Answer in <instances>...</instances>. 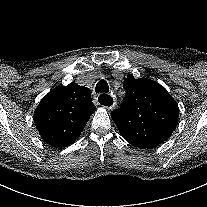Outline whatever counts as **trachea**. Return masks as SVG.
Instances as JSON below:
<instances>
[{"label": "trachea", "mask_w": 207, "mask_h": 207, "mask_svg": "<svg viewBox=\"0 0 207 207\" xmlns=\"http://www.w3.org/2000/svg\"><path fill=\"white\" fill-rule=\"evenodd\" d=\"M95 91H96V93H99V92L107 93L109 91V86H108L107 82L104 80L99 81L96 85ZM98 101L100 104H102L104 106H110L113 103L112 97L108 96L106 94H101L98 98Z\"/></svg>", "instance_id": "trachea-1"}]
</instances>
